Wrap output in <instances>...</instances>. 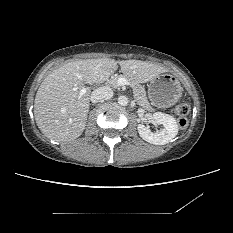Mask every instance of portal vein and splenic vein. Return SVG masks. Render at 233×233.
I'll return each instance as SVG.
<instances>
[{"instance_id":"portal-vein-and-splenic-vein-1","label":"portal vein and splenic vein","mask_w":233,"mask_h":233,"mask_svg":"<svg viewBox=\"0 0 233 233\" xmlns=\"http://www.w3.org/2000/svg\"><path fill=\"white\" fill-rule=\"evenodd\" d=\"M117 83H118L119 86L130 85V83H129V82L127 81V79L124 78V77H120V78L118 79ZM86 91H87L86 88L81 89V90H80V95L85 94Z\"/></svg>"}]
</instances>
